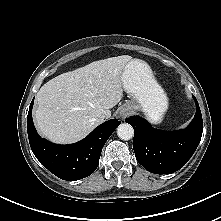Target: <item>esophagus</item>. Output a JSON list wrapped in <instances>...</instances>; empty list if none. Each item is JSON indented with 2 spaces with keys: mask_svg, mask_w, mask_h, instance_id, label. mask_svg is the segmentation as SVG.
Segmentation results:
<instances>
[{
  "mask_svg": "<svg viewBox=\"0 0 221 221\" xmlns=\"http://www.w3.org/2000/svg\"><path fill=\"white\" fill-rule=\"evenodd\" d=\"M132 113V110L130 108H122L119 113L118 116L121 119H125L126 117L130 116Z\"/></svg>",
  "mask_w": 221,
  "mask_h": 221,
  "instance_id": "34e87169",
  "label": "esophagus"
}]
</instances>
